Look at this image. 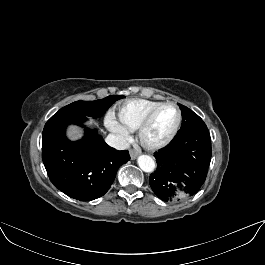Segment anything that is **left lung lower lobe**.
<instances>
[{"label":"left lung lower lobe","instance_id":"0a47b994","mask_svg":"<svg viewBox=\"0 0 265 265\" xmlns=\"http://www.w3.org/2000/svg\"><path fill=\"white\" fill-rule=\"evenodd\" d=\"M211 150L205 123L177 133L166 147L154 153L157 169L149 178L153 192L166 202L193 196L205 182Z\"/></svg>","mask_w":265,"mask_h":265}]
</instances>
